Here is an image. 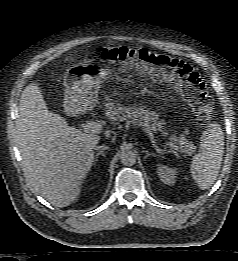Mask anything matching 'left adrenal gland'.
Instances as JSON below:
<instances>
[{"mask_svg":"<svg viewBox=\"0 0 238 261\" xmlns=\"http://www.w3.org/2000/svg\"><path fill=\"white\" fill-rule=\"evenodd\" d=\"M143 152L146 154L144 159H147L150 156H156L155 153L149 152L148 150H143Z\"/></svg>","mask_w":238,"mask_h":261,"instance_id":"a2214340","label":"left adrenal gland"}]
</instances>
